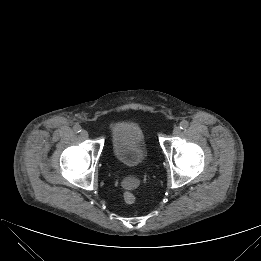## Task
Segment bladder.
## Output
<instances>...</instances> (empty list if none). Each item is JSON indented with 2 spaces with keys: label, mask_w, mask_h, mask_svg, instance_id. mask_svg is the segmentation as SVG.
<instances>
[{
  "label": "bladder",
  "mask_w": 261,
  "mask_h": 261,
  "mask_svg": "<svg viewBox=\"0 0 261 261\" xmlns=\"http://www.w3.org/2000/svg\"><path fill=\"white\" fill-rule=\"evenodd\" d=\"M115 160L126 169H139L147 160V149L141 126L132 120L116 124L112 129Z\"/></svg>",
  "instance_id": "obj_1"
}]
</instances>
